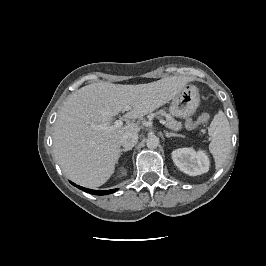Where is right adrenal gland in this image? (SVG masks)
<instances>
[{"mask_svg":"<svg viewBox=\"0 0 266 266\" xmlns=\"http://www.w3.org/2000/svg\"><path fill=\"white\" fill-rule=\"evenodd\" d=\"M129 150H131V149H121V150H120V155H122L123 152L129 151Z\"/></svg>","mask_w":266,"mask_h":266,"instance_id":"1","label":"right adrenal gland"}]
</instances>
